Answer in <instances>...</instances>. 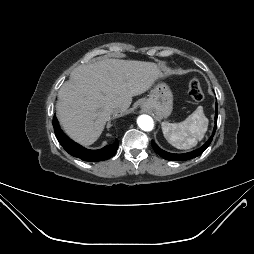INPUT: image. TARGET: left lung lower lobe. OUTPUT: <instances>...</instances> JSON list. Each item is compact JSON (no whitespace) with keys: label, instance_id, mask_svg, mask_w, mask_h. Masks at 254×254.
Segmentation results:
<instances>
[{"label":"left lung lower lobe","instance_id":"obj_1","mask_svg":"<svg viewBox=\"0 0 254 254\" xmlns=\"http://www.w3.org/2000/svg\"><path fill=\"white\" fill-rule=\"evenodd\" d=\"M217 117H218V106H217V103H216L215 126H214V131L212 133V136L209 138V140L201 148H199L197 150H194V151L188 152V153H184V154H172V153H169V152H166V151L160 149L154 141H152V147L158 155H160L162 158H164L166 160L185 161V160L195 158V157L201 155L203 153V151L210 145V143L213 139V136L215 134V131H216Z\"/></svg>","mask_w":254,"mask_h":254}]
</instances>
